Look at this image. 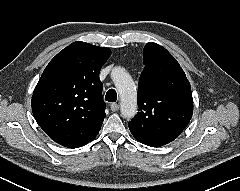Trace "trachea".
Returning a JSON list of instances; mask_svg holds the SVG:
<instances>
[{
  "mask_svg": "<svg viewBox=\"0 0 240 191\" xmlns=\"http://www.w3.org/2000/svg\"><path fill=\"white\" fill-rule=\"evenodd\" d=\"M105 100L108 102H115L117 100V93L114 89H109L105 95Z\"/></svg>",
  "mask_w": 240,
  "mask_h": 191,
  "instance_id": "trachea-1",
  "label": "trachea"
}]
</instances>
